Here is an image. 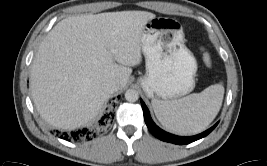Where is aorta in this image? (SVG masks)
Returning a JSON list of instances; mask_svg holds the SVG:
<instances>
[{
	"label": "aorta",
	"mask_w": 267,
	"mask_h": 166,
	"mask_svg": "<svg viewBox=\"0 0 267 166\" xmlns=\"http://www.w3.org/2000/svg\"><path fill=\"white\" fill-rule=\"evenodd\" d=\"M139 98V94L138 91L134 90V89H128L125 92V99L128 102H136Z\"/></svg>",
	"instance_id": "762f6f07"
}]
</instances>
